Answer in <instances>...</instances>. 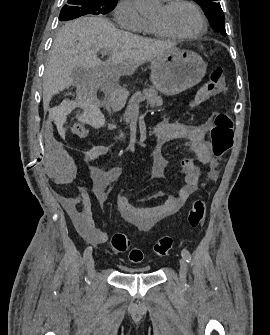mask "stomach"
Returning a JSON list of instances; mask_svg holds the SVG:
<instances>
[{"label":"stomach","mask_w":270,"mask_h":335,"mask_svg":"<svg viewBox=\"0 0 270 335\" xmlns=\"http://www.w3.org/2000/svg\"><path fill=\"white\" fill-rule=\"evenodd\" d=\"M206 70V62L196 52L173 50L152 58L150 80L161 94L175 96L199 84Z\"/></svg>","instance_id":"1"}]
</instances>
